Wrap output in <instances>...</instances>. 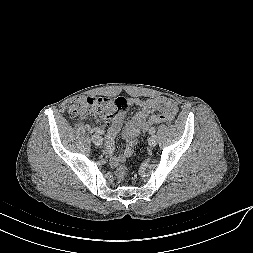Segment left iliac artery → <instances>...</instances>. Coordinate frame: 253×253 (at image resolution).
I'll list each match as a JSON object with an SVG mask.
<instances>
[{
  "label": "left iliac artery",
  "mask_w": 253,
  "mask_h": 253,
  "mask_svg": "<svg viewBox=\"0 0 253 253\" xmlns=\"http://www.w3.org/2000/svg\"><path fill=\"white\" fill-rule=\"evenodd\" d=\"M156 132V128L155 127H151L149 129V134H154Z\"/></svg>",
  "instance_id": "44dca946"
}]
</instances>
